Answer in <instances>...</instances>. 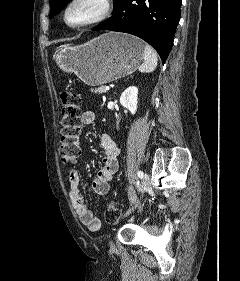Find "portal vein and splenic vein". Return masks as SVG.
<instances>
[{
	"instance_id": "18ae733b",
	"label": "portal vein and splenic vein",
	"mask_w": 240,
	"mask_h": 281,
	"mask_svg": "<svg viewBox=\"0 0 240 281\" xmlns=\"http://www.w3.org/2000/svg\"><path fill=\"white\" fill-rule=\"evenodd\" d=\"M104 89H105V91H108V90H110V86H106Z\"/></svg>"
}]
</instances>
